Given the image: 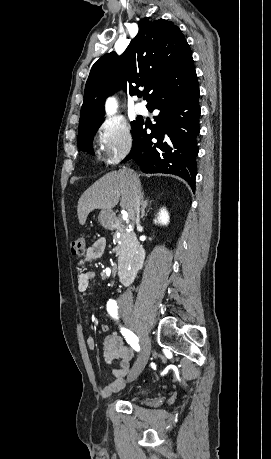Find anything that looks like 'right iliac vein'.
Masks as SVG:
<instances>
[{
    "instance_id": "obj_1",
    "label": "right iliac vein",
    "mask_w": 271,
    "mask_h": 459,
    "mask_svg": "<svg viewBox=\"0 0 271 459\" xmlns=\"http://www.w3.org/2000/svg\"><path fill=\"white\" fill-rule=\"evenodd\" d=\"M120 312L123 318L125 319L126 323L131 328L137 330L141 337V354L138 356L137 361L135 362L129 373V379L134 380L141 374L142 370L147 364V361L151 354V341L147 337L142 336V334L140 333L139 327L136 325L135 319L133 317L132 310L123 309L120 310Z\"/></svg>"
}]
</instances>
